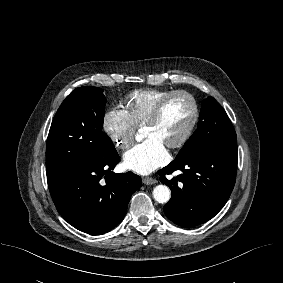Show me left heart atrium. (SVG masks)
<instances>
[{
  "label": "left heart atrium",
  "instance_id": "1",
  "mask_svg": "<svg viewBox=\"0 0 283 283\" xmlns=\"http://www.w3.org/2000/svg\"><path fill=\"white\" fill-rule=\"evenodd\" d=\"M168 159L165 145L155 138H148L128 151L123 163L127 169L145 175L164 165Z\"/></svg>",
  "mask_w": 283,
  "mask_h": 283
}]
</instances>
